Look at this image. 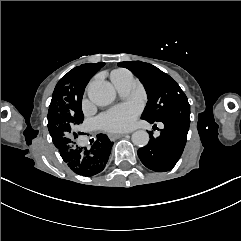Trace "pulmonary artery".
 Here are the masks:
<instances>
[{"instance_id":"obj_1","label":"pulmonary artery","mask_w":241,"mask_h":241,"mask_svg":"<svg viewBox=\"0 0 241 241\" xmlns=\"http://www.w3.org/2000/svg\"><path fill=\"white\" fill-rule=\"evenodd\" d=\"M119 96L122 99H127L132 92V77L129 75L126 80L116 86Z\"/></svg>"}]
</instances>
